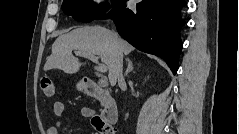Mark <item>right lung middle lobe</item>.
Listing matches in <instances>:
<instances>
[{"instance_id":"1","label":"right lung middle lobe","mask_w":239,"mask_h":134,"mask_svg":"<svg viewBox=\"0 0 239 134\" xmlns=\"http://www.w3.org/2000/svg\"><path fill=\"white\" fill-rule=\"evenodd\" d=\"M119 0H111V7L117 4ZM110 8V5L103 3L96 5L88 0H64L62 10L65 14L72 16L75 20L84 23L91 22Z\"/></svg>"}]
</instances>
